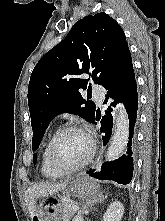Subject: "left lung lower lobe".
Instances as JSON below:
<instances>
[{
  "label": "left lung lower lobe",
  "instance_id": "0a47b994",
  "mask_svg": "<svg viewBox=\"0 0 165 221\" xmlns=\"http://www.w3.org/2000/svg\"><path fill=\"white\" fill-rule=\"evenodd\" d=\"M107 90L104 103L110 101V106L105 110L106 115L101 119V132H103V144H107L113 127L112 107L118 102H123L129 117V141L127 144V155L121 156L112 162H105L99 170H89L91 177L100 180H113L119 184H129L133 176L132 137L137 118L138 93L135 74L132 65L131 54H129L115 74L103 85ZM99 118H94L96 123Z\"/></svg>",
  "mask_w": 165,
  "mask_h": 221
}]
</instances>
